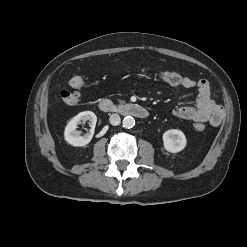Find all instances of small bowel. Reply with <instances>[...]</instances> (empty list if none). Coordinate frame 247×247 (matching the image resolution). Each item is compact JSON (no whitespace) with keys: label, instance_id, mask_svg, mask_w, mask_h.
I'll return each mask as SVG.
<instances>
[{"label":"small bowel","instance_id":"small-bowel-1","mask_svg":"<svg viewBox=\"0 0 247 247\" xmlns=\"http://www.w3.org/2000/svg\"><path fill=\"white\" fill-rule=\"evenodd\" d=\"M197 88L198 94L195 105H183L173 109V114L181 119L194 122H209L218 126L224 118V109L211 96L210 85L205 79L194 80L184 77L177 91L181 89Z\"/></svg>","mask_w":247,"mask_h":247}]
</instances>
